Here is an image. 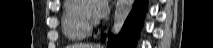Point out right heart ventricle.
<instances>
[{"instance_id": "right-heart-ventricle-1", "label": "right heart ventricle", "mask_w": 213, "mask_h": 48, "mask_svg": "<svg viewBox=\"0 0 213 48\" xmlns=\"http://www.w3.org/2000/svg\"><path fill=\"white\" fill-rule=\"evenodd\" d=\"M77 0H66L63 7L61 26L63 34L72 41H79L90 34V29L82 22Z\"/></svg>"}]
</instances>
